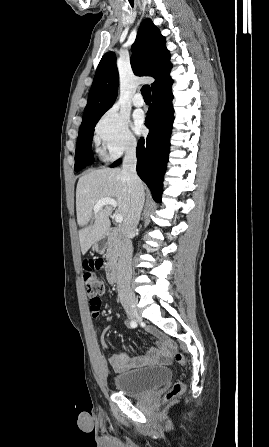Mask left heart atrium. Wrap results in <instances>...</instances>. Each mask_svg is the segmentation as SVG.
I'll return each mask as SVG.
<instances>
[{
    "mask_svg": "<svg viewBox=\"0 0 269 447\" xmlns=\"http://www.w3.org/2000/svg\"><path fill=\"white\" fill-rule=\"evenodd\" d=\"M134 128L139 134H144L146 132V118L141 111L136 112L134 115Z\"/></svg>",
    "mask_w": 269,
    "mask_h": 447,
    "instance_id": "1",
    "label": "left heart atrium"
}]
</instances>
